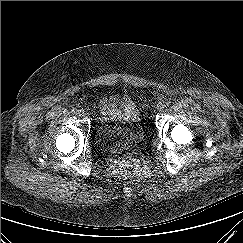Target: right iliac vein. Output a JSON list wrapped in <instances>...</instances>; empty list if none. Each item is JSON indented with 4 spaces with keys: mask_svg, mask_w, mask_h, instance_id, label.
Listing matches in <instances>:
<instances>
[{
    "mask_svg": "<svg viewBox=\"0 0 243 243\" xmlns=\"http://www.w3.org/2000/svg\"><path fill=\"white\" fill-rule=\"evenodd\" d=\"M78 116H80V117H84V116H85V112H84L83 110H80V111L78 112Z\"/></svg>",
    "mask_w": 243,
    "mask_h": 243,
    "instance_id": "63e3f726",
    "label": "right iliac vein"
}]
</instances>
